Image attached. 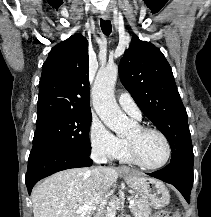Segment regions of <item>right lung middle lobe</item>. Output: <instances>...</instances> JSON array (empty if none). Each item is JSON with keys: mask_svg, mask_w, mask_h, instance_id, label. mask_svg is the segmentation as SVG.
<instances>
[{"mask_svg": "<svg viewBox=\"0 0 211 217\" xmlns=\"http://www.w3.org/2000/svg\"><path fill=\"white\" fill-rule=\"evenodd\" d=\"M91 113H54L37 118L33 148L56 147L90 154Z\"/></svg>", "mask_w": 211, "mask_h": 217, "instance_id": "obj_1", "label": "right lung middle lobe"}]
</instances>
